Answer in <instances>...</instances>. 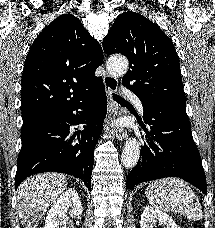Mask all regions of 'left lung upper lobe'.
<instances>
[{"mask_svg": "<svg viewBox=\"0 0 215 228\" xmlns=\"http://www.w3.org/2000/svg\"><path fill=\"white\" fill-rule=\"evenodd\" d=\"M103 48L108 55L122 53L128 58L122 83L141 101L186 103L174 45L144 16L130 11L119 15L103 39Z\"/></svg>", "mask_w": 215, "mask_h": 228, "instance_id": "1", "label": "left lung upper lobe"}]
</instances>
